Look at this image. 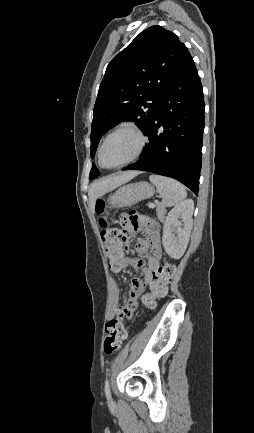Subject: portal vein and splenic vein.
Instances as JSON below:
<instances>
[{
    "mask_svg": "<svg viewBox=\"0 0 254 433\" xmlns=\"http://www.w3.org/2000/svg\"><path fill=\"white\" fill-rule=\"evenodd\" d=\"M150 206H151V207H154V205H153V204H151Z\"/></svg>",
    "mask_w": 254,
    "mask_h": 433,
    "instance_id": "portal-vein-and-splenic-vein-1",
    "label": "portal vein and splenic vein"
}]
</instances>
